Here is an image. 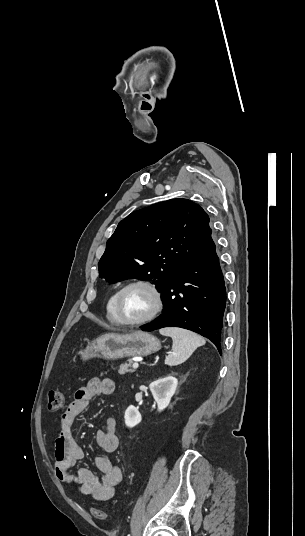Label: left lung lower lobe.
<instances>
[{
	"label": "left lung lower lobe",
	"instance_id": "obj_1",
	"mask_svg": "<svg viewBox=\"0 0 305 536\" xmlns=\"http://www.w3.org/2000/svg\"><path fill=\"white\" fill-rule=\"evenodd\" d=\"M163 313L143 331L181 327L210 339L221 353L226 290L212 238L163 290Z\"/></svg>",
	"mask_w": 305,
	"mask_h": 536
}]
</instances>
